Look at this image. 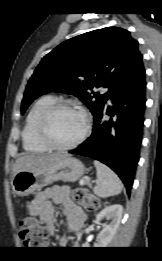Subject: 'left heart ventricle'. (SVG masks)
Returning <instances> with one entry per match:
<instances>
[{"label":"left heart ventricle","mask_w":162,"mask_h":261,"mask_svg":"<svg viewBox=\"0 0 162 261\" xmlns=\"http://www.w3.org/2000/svg\"><path fill=\"white\" fill-rule=\"evenodd\" d=\"M84 129L83 116L74 110H60L53 115L49 123V133L52 140L65 145L76 140Z\"/></svg>","instance_id":"1"}]
</instances>
